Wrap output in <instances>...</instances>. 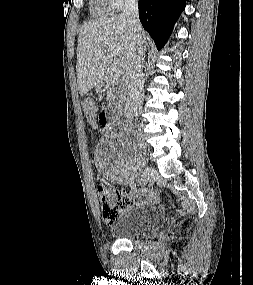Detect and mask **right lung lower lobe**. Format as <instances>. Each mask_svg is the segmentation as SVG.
Listing matches in <instances>:
<instances>
[{
  "label": "right lung lower lobe",
  "instance_id": "1",
  "mask_svg": "<svg viewBox=\"0 0 253 285\" xmlns=\"http://www.w3.org/2000/svg\"><path fill=\"white\" fill-rule=\"evenodd\" d=\"M186 0H139V19L160 50L167 42Z\"/></svg>",
  "mask_w": 253,
  "mask_h": 285
}]
</instances>
